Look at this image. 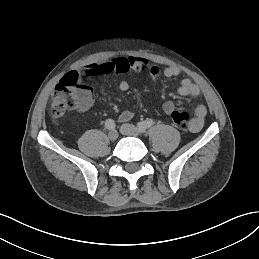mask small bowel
<instances>
[{
  "label": "small bowel",
  "mask_w": 259,
  "mask_h": 259,
  "mask_svg": "<svg viewBox=\"0 0 259 259\" xmlns=\"http://www.w3.org/2000/svg\"><path fill=\"white\" fill-rule=\"evenodd\" d=\"M130 70L146 71L153 79H156L160 75L159 68L155 65H150L146 58L133 56L109 58L101 62L88 64L83 69L75 72L78 75L79 81H81L84 78H90L112 72L124 73ZM180 73V69L174 66L166 67L163 70V75L167 78L177 77ZM119 89L122 92L127 91L129 89V83L126 81L120 82ZM178 93L184 97H195L199 95L200 90L191 80L183 79L178 87ZM174 109L175 105L172 101H166L163 104V111L166 114H170ZM206 115V107L204 105H198L194 110V117L191 119L188 129L194 133L199 132L204 125ZM132 117L133 112L130 110H125L121 113L119 119L121 122H126Z\"/></svg>",
  "instance_id": "c3829d8e"
}]
</instances>
